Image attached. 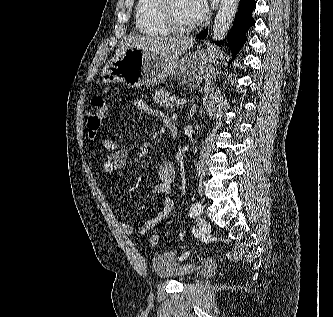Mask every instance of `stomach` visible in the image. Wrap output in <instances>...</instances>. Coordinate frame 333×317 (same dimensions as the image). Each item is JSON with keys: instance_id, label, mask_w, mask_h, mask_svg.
I'll return each instance as SVG.
<instances>
[{"instance_id": "stomach-1", "label": "stomach", "mask_w": 333, "mask_h": 317, "mask_svg": "<svg viewBox=\"0 0 333 317\" xmlns=\"http://www.w3.org/2000/svg\"><path fill=\"white\" fill-rule=\"evenodd\" d=\"M208 57L204 50L171 59L137 46L128 47L123 54L109 61L101 71L102 82H123L128 87H148L177 74L183 83L197 87L202 80Z\"/></svg>"}]
</instances>
